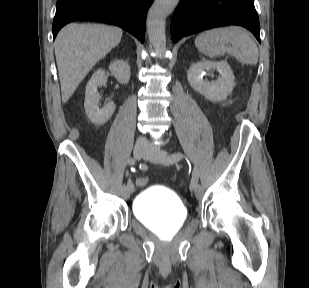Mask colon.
<instances>
[{"mask_svg": "<svg viewBox=\"0 0 309 288\" xmlns=\"http://www.w3.org/2000/svg\"><path fill=\"white\" fill-rule=\"evenodd\" d=\"M147 183H148V179L146 177L138 178L137 181H136V184L139 187H144V186L147 185Z\"/></svg>", "mask_w": 309, "mask_h": 288, "instance_id": "obj_1", "label": "colon"}]
</instances>
